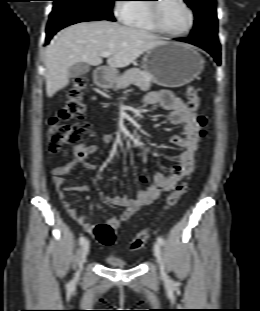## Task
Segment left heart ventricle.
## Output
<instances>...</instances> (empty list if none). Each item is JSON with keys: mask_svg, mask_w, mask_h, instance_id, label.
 <instances>
[{"mask_svg": "<svg viewBox=\"0 0 260 311\" xmlns=\"http://www.w3.org/2000/svg\"><path fill=\"white\" fill-rule=\"evenodd\" d=\"M159 15L162 25L168 31L181 32L189 25V14L179 0H163Z\"/></svg>", "mask_w": 260, "mask_h": 311, "instance_id": "1", "label": "left heart ventricle"}]
</instances>
